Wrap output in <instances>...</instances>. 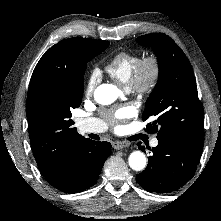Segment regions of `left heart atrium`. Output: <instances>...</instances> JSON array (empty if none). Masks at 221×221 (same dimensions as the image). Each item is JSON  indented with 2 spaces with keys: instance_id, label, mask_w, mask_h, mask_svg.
<instances>
[{
  "instance_id": "obj_1",
  "label": "left heart atrium",
  "mask_w": 221,
  "mask_h": 221,
  "mask_svg": "<svg viewBox=\"0 0 221 221\" xmlns=\"http://www.w3.org/2000/svg\"><path fill=\"white\" fill-rule=\"evenodd\" d=\"M129 107H120L115 110L105 112L106 117L111 121L116 130L121 129L122 122L131 116Z\"/></svg>"
}]
</instances>
